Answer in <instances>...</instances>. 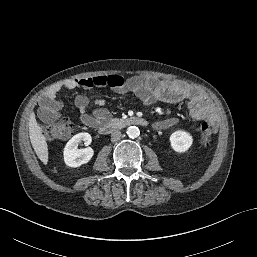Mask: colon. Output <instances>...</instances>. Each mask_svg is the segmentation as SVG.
Listing matches in <instances>:
<instances>
[{
  "mask_svg": "<svg viewBox=\"0 0 257 257\" xmlns=\"http://www.w3.org/2000/svg\"><path fill=\"white\" fill-rule=\"evenodd\" d=\"M200 129V144L207 146L213 133L212 125L207 120H204L200 125ZM42 130L48 140L61 141L71 137L74 133V125L70 119L62 118L43 125Z\"/></svg>",
  "mask_w": 257,
  "mask_h": 257,
  "instance_id": "5ec220e1",
  "label": "colon"
}]
</instances>
